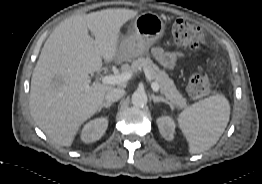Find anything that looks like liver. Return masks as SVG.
Wrapping results in <instances>:
<instances>
[{"instance_id":"liver-1","label":"liver","mask_w":262,"mask_h":184,"mask_svg":"<svg viewBox=\"0 0 262 184\" xmlns=\"http://www.w3.org/2000/svg\"><path fill=\"white\" fill-rule=\"evenodd\" d=\"M137 13L118 8L71 16L46 40L32 74L29 106L37 126L54 143L71 146L80 126L114 88L91 84L89 74L101 69L102 59L109 63L119 57L120 29Z\"/></svg>"}]
</instances>
